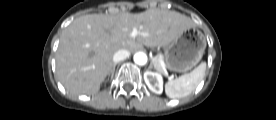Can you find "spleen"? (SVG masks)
I'll return each mask as SVG.
<instances>
[{
	"label": "spleen",
	"instance_id": "spleen-1",
	"mask_svg": "<svg viewBox=\"0 0 276 120\" xmlns=\"http://www.w3.org/2000/svg\"><path fill=\"white\" fill-rule=\"evenodd\" d=\"M206 63L202 62L198 67L188 74L169 81L165 85V92L169 98H182L188 96L196 89L204 77Z\"/></svg>",
	"mask_w": 276,
	"mask_h": 120
}]
</instances>
